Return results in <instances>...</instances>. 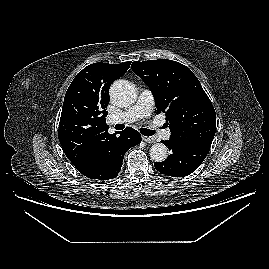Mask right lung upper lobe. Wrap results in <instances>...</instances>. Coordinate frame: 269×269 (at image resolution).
I'll return each instance as SVG.
<instances>
[{"mask_svg": "<svg viewBox=\"0 0 269 269\" xmlns=\"http://www.w3.org/2000/svg\"><path fill=\"white\" fill-rule=\"evenodd\" d=\"M130 64L93 63L70 84L64 97L58 138L72 164L86 162L115 138L116 134L108 133L105 121L109 88Z\"/></svg>", "mask_w": 269, "mask_h": 269, "instance_id": "right-lung-upper-lobe-1", "label": "right lung upper lobe"}]
</instances>
